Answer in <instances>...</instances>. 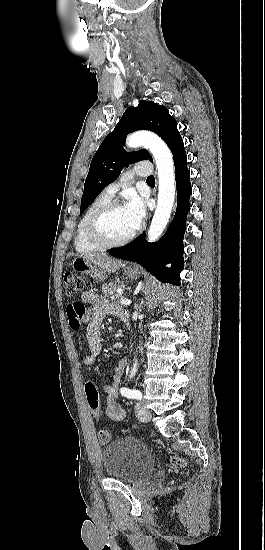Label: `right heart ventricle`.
Returning a JSON list of instances; mask_svg holds the SVG:
<instances>
[{"instance_id":"right-heart-ventricle-1","label":"right heart ventricle","mask_w":265,"mask_h":550,"mask_svg":"<svg viewBox=\"0 0 265 550\" xmlns=\"http://www.w3.org/2000/svg\"><path fill=\"white\" fill-rule=\"evenodd\" d=\"M111 197L107 196L103 192L98 195L86 208L85 212L81 216L75 231L74 246L79 253H91L99 251L101 248L93 244L86 236V224L92 213L100 206L109 202Z\"/></svg>"}]
</instances>
